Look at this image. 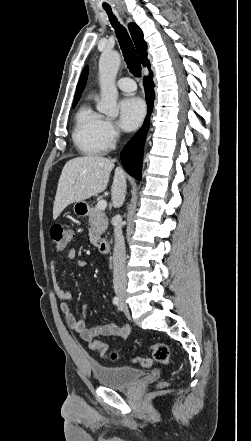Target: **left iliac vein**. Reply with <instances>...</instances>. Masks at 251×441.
<instances>
[{
  "label": "left iliac vein",
  "instance_id": "obj_1",
  "mask_svg": "<svg viewBox=\"0 0 251 441\" xmlns=\"http://www.w3.org/2000/svg\"><path fill=\"white\" fill-rule=\"evenodd\" d=\"M125 308H126V305L123 302H121L119 305V310L123 311V310H125Z\"/></svg>",
  "mask_w": 251,
  "mask_h": 441
}]
</instances>
